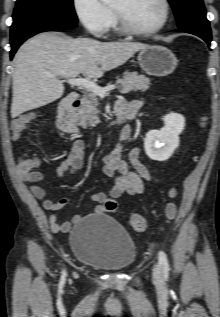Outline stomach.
I'll list each match as a JSON object with an SVG mask.
<instances>
[{"instance_id":"1","label":"stomach","mask_w":220,"mask_h":317,"mask_svg":"<svg viewBox=\"0 0 220 317\" xmlns=\"http://www.w3.org/2000/svg\"><path fill=\"white\" fill-rule=\"evenodd\" d=\"M138 62L147 74L163 77L175 70L178 61L172 51L166 47L152 45L139 51Z\"/></svg>"}]
</instances>
